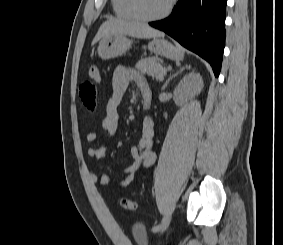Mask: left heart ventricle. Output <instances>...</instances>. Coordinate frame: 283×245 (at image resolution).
Instances as JSON below:
<instances>
[{
	"label": "left heart ventricle",
	"mask_w": 283,
	"mask_h": 245,
	"mask_svg": "<svg viewBox=\"0 0 283 245\" xmlns=\"http://www.w3.org/2000/svg\"><path fill=\"white\" fill-rule=\"evenodd\" d=\"M140 12L146 16H154L161 13L169 0H137Z\"/></svg>",
	"instance_id": "b2bd125f"
}]
</instances>
